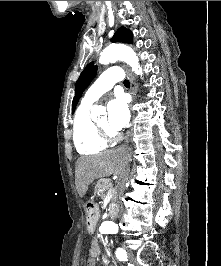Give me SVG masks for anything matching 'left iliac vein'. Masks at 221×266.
Returning <instances> with one entry per match:
<instances>
[{"label": "left iliac vein", "mask_w": 221, "mask_h": 266, "mask_svg": "<svg viewBox=\"0 0 221 266\" xmlns=\"http://www.w3.org/2000/svg\"><path fill=\"white\" fill-rule=\"evenodd\" d=\"M127 257H128L129 260H131L133 258V253L129 249H127Z\"/></svg>", "instance_id": "obj_1"}]
</instances>
